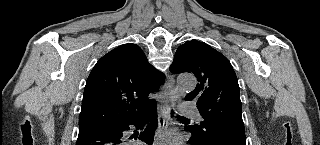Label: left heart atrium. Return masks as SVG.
<instances>
[{
    "label": "left heart atrium",
    "instance_id": "obj_1",
    "mask_svg": "<svg viewBox=\"0 0 320 145\" xmlns=\"http://www.w3.org/2000/svg\"><path fill=\"white\" fill-rule=\"evenodd\" d=\"M161 142L162 145H175L178 142V138L173 134H169L165 136Z\"/></svg>",
    "mask_w": 320,
    "mask_h": 145
}]
</instances>
